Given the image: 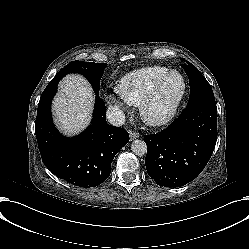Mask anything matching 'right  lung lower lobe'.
Instances as JSON below:
<instances>
[{"instance_id":"right-lung-lower-lobe-1","label":"right lung lower lobe","mask_w":249,"mask_h":249,"mask_svg":"<svg viewBox=\"0 0 249 249\" xmlns=\"http://www.w3.org/2000/svg\"><path fill=\"white\" fill-rule=\"evenodd\" d=\"M59 80L56 74L38 104L35 132L42 161L53 174L73 185L97 186L109 177L113 158L127 144L129 134L107 124L105 104L96 96L91 125L79 136H62L51 117V101Z\"/></svg>"}]
</instances>
